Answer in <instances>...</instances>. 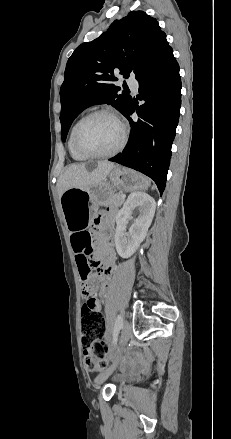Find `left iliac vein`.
<instances>
[{
    "instance_id": "left-iliac-vein-1",
    "label": "left iliac vein",
    "mask_w": 231,
    "mask_h": 439,
    "mask_svg": "<svg viewBox=\"0 0 231 439\" xmlns=\"http://www.w3.org/2000/svg\"><path fill=\"white\" fill-rule=\"evenodd\" d=\"M130 336H131V326H130L128 321H125L123 324V327H122L121 338H120L122 348H125V346L127 345L128 341L130 339ZM121 356H122V354H120L117 357L116 361L114 362V364L111 367H109L104 373H102L97 378L98 385L103 383L107 379V377L112 374V372L115 370L117 364L121 360Z\"/></svg>"
}]
</instances>
